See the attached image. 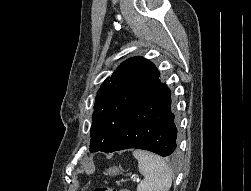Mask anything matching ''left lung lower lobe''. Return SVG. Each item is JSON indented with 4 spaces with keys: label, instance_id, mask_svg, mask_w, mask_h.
<instances>
[{
    "label": "left lung lower lobe",
    "instance_id": "0a47b994",
    "mask_svg": "<svg viewBox=\"0 0 251 191\" xmlns=\"http://www.w3.org/2000/svg\"><path fill=\"white\" fill-rule=\"evenodd\" d=\"M137 148L166 157L177 152V127L171 92L157 82L136 104L107 153Z\"/></svg>",
    "mask_w": 251,
    "mask_h": 191
}]
</instances>
